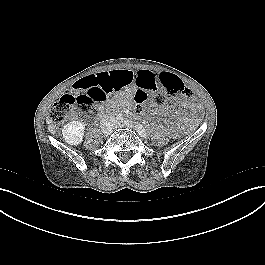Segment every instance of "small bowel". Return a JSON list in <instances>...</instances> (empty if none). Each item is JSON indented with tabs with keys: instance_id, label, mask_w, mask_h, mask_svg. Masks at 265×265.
I'll list each match as a JSON object with an SVG mask.
<instances>
[{
	"instance_id": "1",
	"label": "small bowel",
	"mask_w": 265,
	"mask_h": 265,
	"mask_svg": "<svg viewBox=\"0 0 265 265\" xmlns=\"http://www.w3.org/2000/svg\"><path fill=\"white\" fill-rule=\"evenodd\" d=\"M159 73L152 72L149 70H142L140 72H133L131 70L121 69L106 71L97 74V77L104 76L110 81L114 82L119 90L136 85L141 89L156 90L161 87L158 78ZM178 106L183 107V102L179 103ZM177 109V105L169 104L163 110H155L156 114H163L166 112H172ZM200 109V108H199ZM199 109L196 111L198 112ZM193 112V113H196Z\"/></svg>"
}]
</instances>
